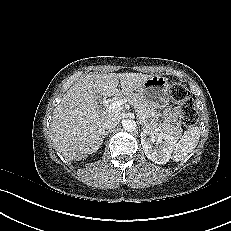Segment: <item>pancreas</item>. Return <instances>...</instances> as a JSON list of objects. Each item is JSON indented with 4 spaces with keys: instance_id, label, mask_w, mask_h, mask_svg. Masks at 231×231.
<instances>
[{
    "instance_id": "1",
    "label": "pancreas",
    "mask_w": 231,
    "mask_h": 231,
    "mask_svg": "<svg viewBox=\"0 0 231 231\" xmlns=\"http://www.w3.org/2000/svg\"><path fill=\"white\" fill-rule=\"evenodd\" d=\"M119 99H125L130 104H132L138 114V116L141 118V120L144 122V124L149 129H156L157 131L164 132L173 136H180L182 134V127L180 124H174V123H167V122H159L156 119L157 112L155 108L150 105L146 100L141 98L137 94H126V95H120L110 101V104L114 101H117Z\"/></svg>"
}]
</instances>
